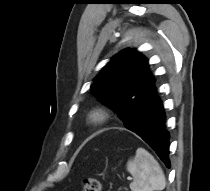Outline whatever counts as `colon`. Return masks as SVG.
<instances>
[{
  "label": "colon",
  "instance_id": "1",
  "mask_svg": "<svg viewBox=\"0 0 210 191\" xmlns=\"http://www.w3.org/2000/svg\"><path fill=\"white\" fill-rule=\"evenodd\" d=\"M82 191H102V184L95 177H87L82 182Z\"/></svg>",
  "mask_w": 210,
  "mask_h": 191
}]
</instances>
